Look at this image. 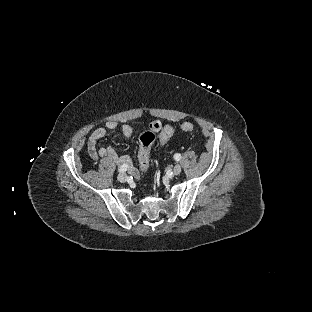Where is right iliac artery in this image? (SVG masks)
<instances>
[{"mask_svg":"<svg viewBox=\"0 0 312 312\" xmlns=\"http://www.w3.org/2000/svg\"><path fill=\"white\" fill-rule=\"evenodd\" d=\"M128 169V165L127 164H123L121 165V167L118 169L119 172H125Z\"/></svg>","mask_w":312,"mask_h":312,"instance_id":"right-iliac-artery-1","label":"right iliac artery"}]
</instances>
